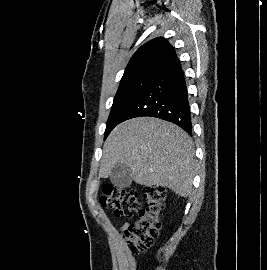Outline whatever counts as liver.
Returning a JSON list of instances; mask_svg holds the SVG:
<instances>
[{
    "mask_svg": "<svg viewBox=\"0 0 267 270\" xmlns=\"http://www.w3.org/2000/svg\"><path fill=\"white\" fill-rule=\"evenodd\" d=\"M195 151L178 126L153 117H138L114 128L103 146L99 176L107 178L121 163L132 180L144 186L167 187L181 197L192 191Z\"/></svg>",
    "mask_w": 267,
    "mask_h": 270,
    "instance_id": "obj_1",
    "label": "liver"
}]
</instances>
